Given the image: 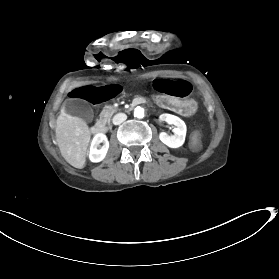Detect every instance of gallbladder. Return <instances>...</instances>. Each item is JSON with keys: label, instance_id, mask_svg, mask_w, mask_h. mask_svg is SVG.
Returning <instances> with one entry per match:
<instances>
[{"label": "gallbladder", "instance_id": "1", "mask_svg": "<svg viewBox=\"0 0 279 279\" xmlns=\"http://www.w3.org/2000/svg\"><path fill=\"white\" fill-rule=\"evenodd\" d=\"M66 109H67L68 113H70L74 116L79 115L80 119H82L84 121H90L94 117L93 110L90 108L89 104L86 102L79 103L75 100H72V101L68 102Z\"/></svg>", "mask_w": 279, "mask_h": 279}]
</instances>
